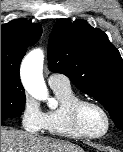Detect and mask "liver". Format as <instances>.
Instances as JSON below:
<instances>
[{
    "label": "liver",
    "instance_id": "obj_1",
    "mask_svg": "<svg viewBox=\"0 0 123 152\" xmlns=\"http://www.w3.org/2000/svg\"><path fill=\"white\" fill-rule=\"evenodd\" d=\"M1 152H84L70 142L1 127Z\"/></svg>",
    "mask_w": 123,
    "mask_h": 152
}]
</instances>
